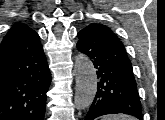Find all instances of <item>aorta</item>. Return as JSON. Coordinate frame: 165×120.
I'll list each match as a JSON object with an SVG mask.
<instances>
[{
    "label": "aorta",
    "mask_w": 165,
    "mask_h": 120,
    "mask_svg": "<svg viewBox=\"0 0 165 120\" xmlns=\"http://www.w3.org/2000/svg\"><path fill=\"white\" fill-rule=\"evenodd\" d=\"M76 88L74 103L77 109L89 107L97 92V75L92 61L82 53L75 58Z\"/></svg>",
    "instance_id": "762f6f07"
}]
</instances>
